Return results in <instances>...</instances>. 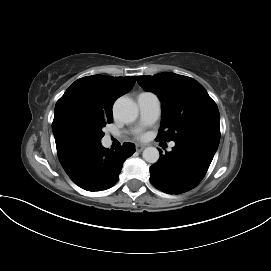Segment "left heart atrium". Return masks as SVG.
Segmentation results:
<instances>
[{
    "label": "left heart atrium",
    "instance_id": "obj_1",
    "mask_svg": "<svg viewBox=\"0 0 271 271\" xmlns=\"http://www.w3.org/2000/svg\"><path fill=\"white\" fill-rule=\"evenodd\" d=\"M139 137L143 139V138H145V134L141 133V134H139Z\"/></svg>",
    "mask_w": 271,
    "mask_h": 271
}]
</instances>
